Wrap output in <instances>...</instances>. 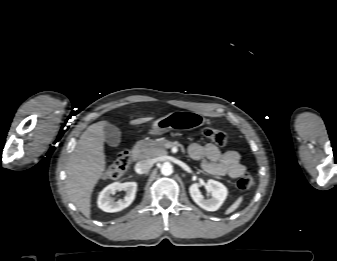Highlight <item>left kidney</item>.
Masks as SVG:
<instances>
[{
  "mask_svg": "<svg viewBox=\"0 0 337 261\" xmlns=\"http://www.w3.org/2000/svg\"><path fill=\"white\" fill-rule=\"evenodd\" d=\"M207 188L211 193V198L208 200L201 194L198 183H193L189 188V192L193 201L202 209L206 211H216L227 197V188L222 183L213 179L207 181Z\"/></svg>",
  "mask_w": 337,
  "mask_h": 261,
  "instance_id": "5707ae66",
  "label": "left kidney"
}]
</instances>
